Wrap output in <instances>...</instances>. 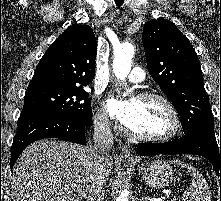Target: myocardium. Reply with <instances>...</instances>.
Here are the masks:
<instances>
[{
  "mask_svg": "<svg viewBox=\"0 0 221 201\" xmlns=\"http://www.w3.org/2000/svg\"><path fill=\"white\" fill-rule=\"evenodd\" d=\"M135 99L140 100V101L157 100L161 102L165 106V108L167 109L168 113L171 116L172 128L170 132L164 135H142V134H136L130 131L122 123L120 125V129L124 134L139 141H149V142H167V141L174 139L176 136H178L182 127L181 119L174 104L166 96L159 94V93H154V92H145V93L138 94Z\"/></svg>",
  "mask_w": 221,
  "mask_h": 201,
  "instance_id": "f54148a6",
  "label": "myocardium"
}]
</instances>
